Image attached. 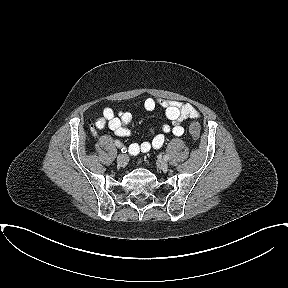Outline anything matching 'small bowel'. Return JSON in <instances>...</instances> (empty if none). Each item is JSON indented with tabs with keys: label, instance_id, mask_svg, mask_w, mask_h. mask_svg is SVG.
<instances>
[{
	"label": "small bowel",
	"instance_id": "small-bowel-1",
	"mask_svg": "<svg viewBox=\"0 0 288 288\" xmlns=\"http://www.w3.org/2000/svg\"><path fill=\"white\" fill-rule=\"evenodd\" d=\"M157 107L164 110L165 116L171 121V124H164L160 133H155L154 130H151L152 139L150 141L131 144L129 151L132 155L146 153L151 149H160L165 143L167 134L172 133L175 136H181L184 133V120L199 116L197 109L189 103L165 99L156 100L153 98H147L144 101V108L147 111H153ZM131 120V113L120 111L116 115L112 108L105 107L95 124L99 129L107 126L115 135L123 137L130 135L127 125Z\"/></svg>",
	"mask_w": 288,
	"mask_h": 288
}]
</instances>
